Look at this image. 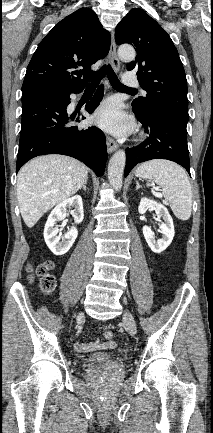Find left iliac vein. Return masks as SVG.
<instances>
[{"label":"left iliac vein","mask_w":213,"mask_h":433,"mask_svg":"<svg viewBox=\"0 0 213 433\" xmlns=\"http://www.w3.org/2000/svg\"><path fill=\"white\" fill-rule=\"evenodd\" d=\"M123 322L126 330L132 336L136 334V324L132 314L129 311H125L123 314Z\"/></svg>","instance_id":"obj_1"}]
</instances>
